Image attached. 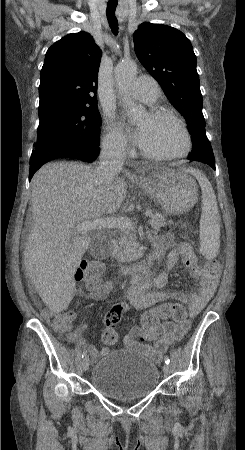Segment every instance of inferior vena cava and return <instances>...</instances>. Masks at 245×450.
Masks as SVG:
<instances>
[{"label": "inferior vena cava", "mask_w": 245, "mask_h": 450, "mask_svg": "<svg viewBox=\"0 0 245 450\" xmlns=\"http://www.w3.org/2000/svg\"><path fill=\"white\" fill-rule=\"evenodd\" d=\"M96 176L104 183H111L118 172L122 170L125 160V145L121 142H111L102 147Z\"/></svg>", "instance_id": "602c4592"}]
</instances>
